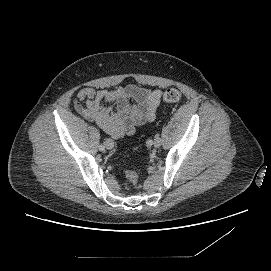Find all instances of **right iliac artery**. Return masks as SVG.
Wrapping results in <instances>:
<instances>
[{"label": "right iliac artery", "instance_id": "right-iliac-artery-1", "mask_svg": "<svg viewBox=\"0 0 271 271\" xmlns=\"http://www.w3.org/2000/svg\"><path fill=\"white\" fill-rule=\"evenodd\" d=\"M104 149H105V146L101 144V145L99 146V150L103 151Z\"/></svg>", "mask_w": 271, "mask_h": 271}]
</instances>
